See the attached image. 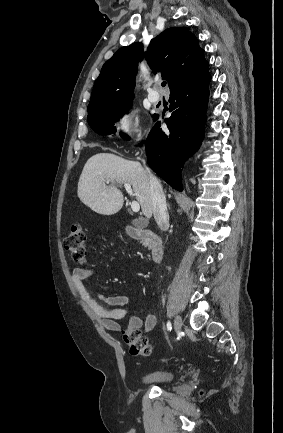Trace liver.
<instances>
[{
  "label": "liver",
  "mask_w": 283,
  "mask_h": 433,
  "mask_svg": "<svg viewBox=\"0 0 283 433\" xmlns=\"http://www.w3.org/2000/svg\"><path fill=\"white\" fill-rule=\"evenodd\" d=\"M110 180L112 184H106ZM131 184L146 219L153 214V200L147 170L138 160H125L111 152H99L88 158L80 174L78 196L99 214H115L124 204L117 184Z\"/></svg>",
  "instance_id": "obj_1"
}]
</instances>
